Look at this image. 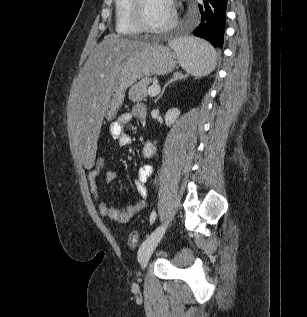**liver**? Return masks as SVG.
I'll return each instance as SVG.
<instances>
[{
    "label": "liver",
    "mask_w": 307,
    "mask_h": 317,
    "mask_svg": "<svg viewBox=\"0 0 307 317\" xmlns=\"http://www.w3.org/2000/svg\"><path fill=\"white\" fill-rule=\"evenodd\" d=\"M150 45L110 34L92 51L73 85L68 105L70 144L80 154L85 171L95 167L100 127L121 63L130 54Z\"/></svg>",
    "instance_id": "obj_1"
}]
</instances>
